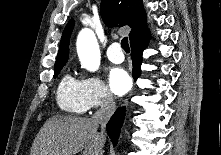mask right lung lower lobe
<instances>
[{
    "label": "right lung lower lobe",
    "mask_w": 221,
    "mask_h": 155,
    "mask_svg": "<svg viewBox=\"0 0 221 155\" xmlns=\"http://www.w3.org/2000/svg\"><path fill=\"white\" fill-rule=\"evenodd\" d=\"M149 39L150 32L148 29H145L130 42L132 50L131 58L133 61L132 74L135 81L141 75L142 53L143 50L147 47ZM124 115L125 107L118 108L106 126L108 135L114 144L117 143L120 129L124 120Z\"/></svg>",
    "instance_id": "1"
}]
</instances>
